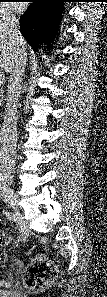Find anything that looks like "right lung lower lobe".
<instances>
[{
	"mask_svg": "<svg viewBox=\"0 0 107 297\" xmlns=\"http://www.w3.org/2000/svg\"><path fill=\"white\" fill-rule=\"evenodd\" d=\"M67 0H32L20 18V31L33 50L56 34L64 2Z\"/></svg>",
	"mask_w": 107,
	"mask_h": 297,
	"instance_id": "1",
	"label": "right lung lower lobe"
}]
</instances>
